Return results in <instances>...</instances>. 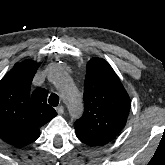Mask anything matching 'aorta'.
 <instances>
[{"instance_id": "1", "label": "aorta", "mask_w": 165, "mask_h": 165, "mask_svg": "<svg viewBox=\"0 0 165 165\" xmlns=\"http://www.w3.org/2000/svg\"><path fill=\"white\" fill-rule=\"evenodd\" d=\"M49 79L56 84L65 86L63 96L69 114L73 119L79 118L83 112L82 96L64 68L55 66L49 73Z\"/></svg>"}]
</instances>
